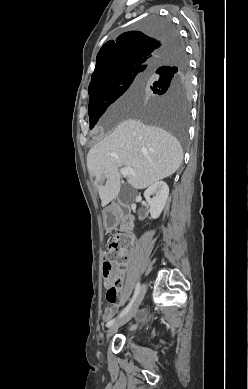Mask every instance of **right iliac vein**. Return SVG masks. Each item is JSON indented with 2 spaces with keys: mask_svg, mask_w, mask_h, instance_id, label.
Wrapping results in <instances>:
<instances>
[{
  "mask_svg": "<svg viewBox=\"0 0 248 389\" xmlns=\"http://www.w3.org/2000/svg\"><path fill=\"white\" fill-rule=\"evenodd\" d=\"M146 292L145 285H142L139 290V294L137 296L136 302L133 305V307L129 310L127 314H125L123 317L119 318L115 323L110 326L106 338L109 339L112 337V335L124 324H126L128 321H130L136 314L138 307L142 303L144 296Z\"/></svg>",
  "mask_w": 248,
  "mask_h": 389,
  "instance_id": "obj_1",
  "label": "right iliac vein"
}]
</instances>
